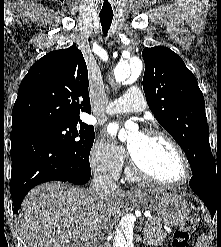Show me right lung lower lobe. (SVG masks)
Returning <instances> with one entry per match:
<instances>
[{
	"label": "right lung lower lobe",
	"mask_w": 221,
	"mask_h": 247,
	"mask_svg": "<svg viewBox=\"0 0 221 247\" xmlns=\"http://www.w3.org/2000/svg\"><path fill=\"white\" fill-rule=\"evenodd\" d=\"M12 176L10 182L13 213H17L30 189L59 180L85 184L91 177L88 159L77 157L41 136L11 132Z\"/></svg>",
	"instance_id": "1"
}]
</instances>
